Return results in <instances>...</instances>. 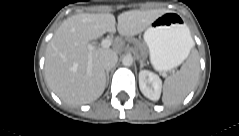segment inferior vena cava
Masks as SVG:
<instances>
[{"mask_svg":"<svg viewBox=\"0 0 239 136\" xmlns=\"http://www.w3.org/2000/svg\"><path fill=\"white\" fill-rule=\"evenodd\" d=\"M117 61H118V56L113 51L103 53L100 56V63L103 66V68L106 70L113 68L116 65Z\"/></svg>","mask_w":239,"mask_h":136,"instance_id":"1","label":"inferior vena cava"}]
</instances>
